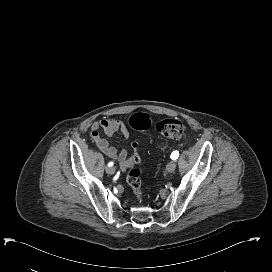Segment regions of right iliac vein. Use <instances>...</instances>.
I'll use <instances>...</instances> for the list:
<instances>
[{
	"label": "right iliac vein",
	"instance_id": "obj_1",
	"mask_svg": "<svg viewBox=\"0 0 272 272\" xmlns=\"http://www.w3.org/2000/svg\"><path fill=\"white\" fill-rule=\"evenodd\" d=\"M106 172L110 175L115 173V168L113 166H107L106 167Z\"/></svg>",
	"mask_w": 272,
	"mask_h": 272
}]
</instances>
